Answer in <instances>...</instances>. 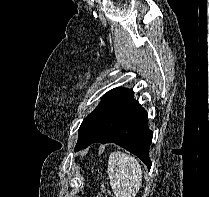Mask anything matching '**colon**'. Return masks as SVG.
Segmentation results:
<instances>
[{
	"instance_id": "1",
	"label": "colon",
	"mask_w": 209,
	"mask_h": 197,
	"mask_svg": "<svg viewBox=\"0 0 209 197\" xmlns=\"http://www.w3.org/2000/svg\"><path fill=\"white\" fill-rule=\"evenodd\" d=\"M96 197H113V194L106 186H102Z\"/></svg>"
}]
</instances>
